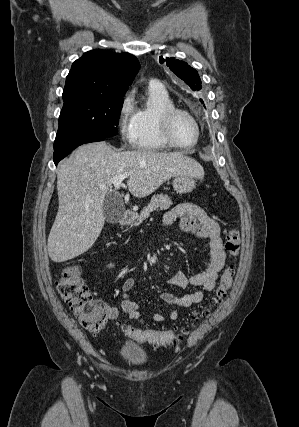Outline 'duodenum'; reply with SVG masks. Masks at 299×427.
Masks as SVG:
<instances>
[{
  "mask_svg": "<svg viewBox=\"0 0 299 427\" xmlns=\"http://www.w3.org/2000/svg\"><path fill=\"white\" fill-rule=\"evenodd\" d=\"M132 218H133V212L131 210H126L121 223L123 225H128L131 222Z\"/></svg>",
  "mask_w": 299,
  "mask_h": 427,
  "instance_id": "410a0bca",
  "label": "duodenum"
}]
</instances>
